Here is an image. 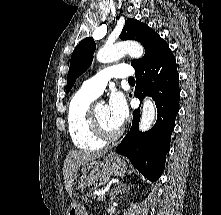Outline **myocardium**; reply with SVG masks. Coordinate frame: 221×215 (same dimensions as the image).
<instances>
[{
	"label": "myocardium",
	"instance_id": "f54148a6",
	"mask_svg": "<svg viewBox=\"0 0 221 215\" xmlns=\"http://www.w3.org/2000/svg\"><path fill=\"white\" fill-rule=\"evenodd\" d=\"M97 105L98 103H91L89 107V120L94 134L102 141H114L118 139L122 134V129L118 128L115 131L105 129L98 119L96 113Z\"/></svg>",
	"mask_w": 221,
	"mask_h": 215
}]
</instances>
